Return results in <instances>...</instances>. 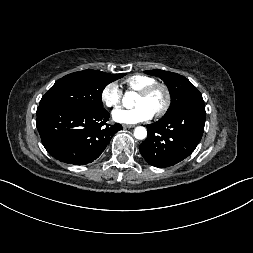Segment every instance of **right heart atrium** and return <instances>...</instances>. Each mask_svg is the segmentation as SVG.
I'll return each instance as SVG.
<instances>
[{
	"label": "right heart atrium",
	"mask_w": 253,
	"mask_h": 253,
	"mask_svg": "<svg viewBox=\"0 0 253 253\" xmlns=\"http://www.w3.org/2000/svg\"><path fill=\"white\" fill-rule=\"evenodd\" d=\"M123 92L116 82L106 84L101 90L100 98L108 108H117L122 102Z\"/></svg>",
	"instance_id": "1"
}]
</instances>
